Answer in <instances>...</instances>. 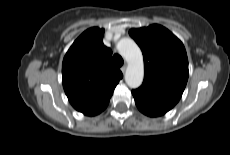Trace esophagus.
<instances>
[{
  "label": "esophagus",
  "mask_w": 230,
  "mask_h": 155,
  "mask_svg": "<svg viewBox=\"0 0 230 155\" xmlns=\"http://www.w3.org/2000/svg\"><path fill=\"white\" fill-rule=\"evenodd\" d=\"M126 68H127V65L125 64V65H123L122 67H121V71H122V73H125L126 72Z\"/></svg>",
  "instance_id": "1"
}]
</instances>
